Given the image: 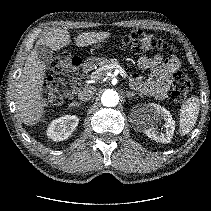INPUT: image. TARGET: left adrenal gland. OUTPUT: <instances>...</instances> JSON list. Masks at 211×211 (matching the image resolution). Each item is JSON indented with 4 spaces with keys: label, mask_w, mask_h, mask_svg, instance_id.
<instances>
[{
    "label": "left adrenal gland",
    "mask_w": 211,
    "mask_h": 211,
    "mask_svg": "<svg viewBox=\"0 0 211 211\" xmlns=\"http://www.w3.org/2000/svg\"><path fill=\"white\" fill-rule=\"evenodd\" d=\"M137 94L138 93L126 91V95H127L128 98H131V97H133L134 95H137Z\"/></svg>",
    "instance_id": "1"
}]
</instances>
